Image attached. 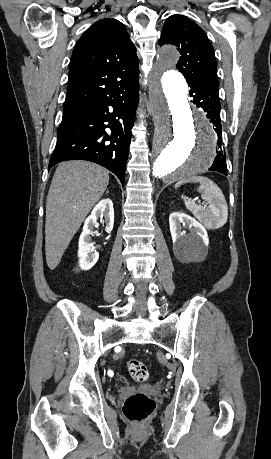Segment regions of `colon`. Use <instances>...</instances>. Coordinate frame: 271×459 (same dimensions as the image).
Here are the masks:
<instances>
[{
  "instance_id": "colon-1",
  "label": "colon",
  "mask_w": 271,
  "mask_h": 459,
  "mask_svg": "<svg viewBox=\"0 0 271 459\" xmlns=\"http://www.w3.org/2000/svg\"><path fill=\"white\" fill-rule=\"evenodd\" d=\"M74 2L75 0H69ZM130 376L138 382H147L150 374L146 365L140 360H131L128 365ZM155 408V402L144 393L130 395L124 402L125 417L135 423H142L149 418Z\"/></svg>"
}]
</instances>
